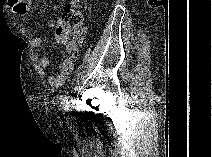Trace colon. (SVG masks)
<instances>
[{
	"label": "colon",
	"mask_w": 212,
	"mask_h": 157,
	"mask_svg": "<svg viewBox=\"0 0 212 157\" xmlns=\"http://www.w3.org/2000/svg\"><path fill=\"white\" fill-rule=\"evenodd\" d=\"M85 5L79 1L68 2L63 11V20L67 24V29L62 32L57 39L59 45L76 57L78 55V42L81 38L80 28L84 21Z\"/></svg>",
	"instance_id": "5ec220e1"
}]
</instances>
